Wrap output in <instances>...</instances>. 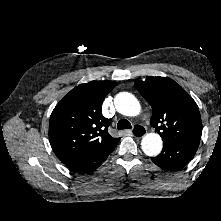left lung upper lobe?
Instances as JSON below:
<instances>
[{
  "instance_id": "obj_1",
  "label": "left lung upper lobe",
  "mask_w": 221,
  "mask_h": 221,
  "mask_svg": "<svg viewBox=\"0 0 221 221\" xmlns=\"http://www.w3.org/2000/svg\"><path fill=\"white\" fill-rule=\"evenodd\" d=\"M134 86L152 107L150 123L164 143L200 140L202 121L198 106L174 80L151 76L135 82Z\"/></svg>"
}]
</instances>
